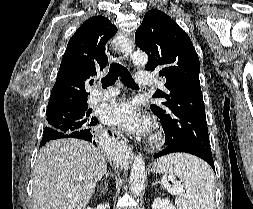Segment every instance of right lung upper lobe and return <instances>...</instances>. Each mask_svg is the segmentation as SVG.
Segmentation results:
<instances>
[{
	"mask_svg": "<svg viewBox=\"0 0 253 209\" xmlns=\"http://www.w3.org/2000/svg\"><path fill=\"white\" fill-rule=\"evenodd\" d=\"M116 33L117 28L103 16L91 17L78 28L63 55L47 112L87 103V80L107 65L105 44Z\"/></svg>",
	"mask_w": 253,
	"mask_h": 209,
	"instance_id": "obj_1",
	"label": "right lung upper lobe"
}]
</instances>
